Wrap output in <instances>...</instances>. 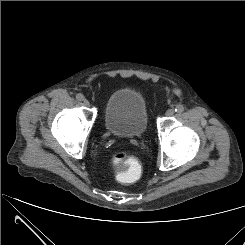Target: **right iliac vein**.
<instances>
[{
    "label": "right iliac vein",
    "instance_id": "right-iliac-vein-1",
    "mask_svg": "<svg viewBox=\"0 0 245 245\" xmlns=\"http://www.w3.org/2000/svg\"><path fill=\"white\" fill-rule=\"evenodd\" d=\"M83 103H84V105L86 107H89L90 106V102L88 100H86V99L83 101Z\"/></svg>",
    "mask_w": 245,
    "mask_h": 245
}]
</instances>
